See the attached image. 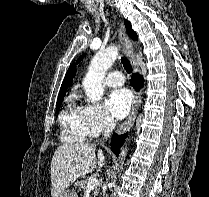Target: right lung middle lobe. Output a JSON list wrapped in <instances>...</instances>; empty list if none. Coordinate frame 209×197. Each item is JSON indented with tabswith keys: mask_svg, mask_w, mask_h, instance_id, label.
Listing matches in <instances>:
<instances>
[{
	"mask_svg": "<svg viewBox=\"0 0 209 197\" xmlns=\"http://www.w3.org/2000/svg\"><path fill=\"white\" fill-rule=\"evenodd\" d=\"M62 101H63V99L57 100V103H56V113L57 114L59 113Z\"/></svg>",
	"mask_w": 209,
	"mask_h": 197,
	"instance_id": "dd1d6c3e",
	"label": "right lung middle lobe"
}]
</instances>
